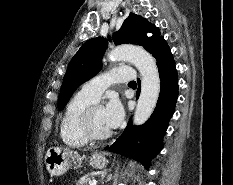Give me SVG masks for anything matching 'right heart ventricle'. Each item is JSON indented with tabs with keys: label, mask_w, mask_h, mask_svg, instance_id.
<instances>
[{
	"label": "right heart ventricle",
	"mask_w": 233,
	"mask_h": 185,
	"mask_svg": "<svg viewBox=\"0 0 233 185\" xmlns=\"http://www.w3.org/2000/svg\"><path fill=\"white\" fill-rule=\"evenodd\" d=\"M93 102L95 101L79 92L66 105L60 121V136L67 146L78 148L87 144L88 140L80 129V117Z\"/></svg>",
	"instance_id": "right-heart-ventricle-1"
}]
</instances>
